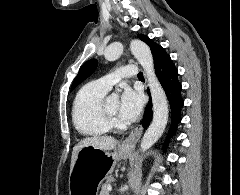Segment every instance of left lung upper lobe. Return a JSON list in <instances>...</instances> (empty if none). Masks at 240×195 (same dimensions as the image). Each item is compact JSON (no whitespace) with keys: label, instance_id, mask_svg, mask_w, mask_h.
I'll use <instances>...</instances> for the list:
<instances>
[{"label":"left lung upper lobe","instance_id":"left-lung-upper-lobe-1","mask_svg":"<svg viewBox=\"0 0 240 195\" xmlns=\"http://www.w3.org/2000/svg\"><path fill=\"white\" fill-rule=\"evenodd\" d=\"M139 38L150 46V49L154 58V64L158 62L160 59L168 55L165 52L164 48H162L160 45L153 42L151 39H149L148 36L139 35ZM97 65H98V61L96 59H90L87 62H85L80 68L78 75L74 79L71 86V90H73L83 80L89 77L95 71V69L97 68Z\"/></svg>","mask_w":240,"mask_h":195}]
</instances>
